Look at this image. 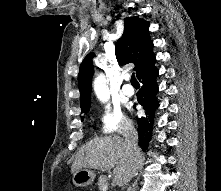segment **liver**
Wrapping results in <instances>:
<instances>
[{
	"label": "liver",
	"mask_w": 221,
	"mask_h": 191,
	"mask_svg": "<svg viewBox=\"0 0 221 191\" xmlns=\"http://www.w3.org/2000/svg\"><path fill=\"white\" fill-rule=\"evenodd\" d=\"M141 160L134 163L126 142L119 137L94 138L78 151L71 172L82 169H113V184L122 186L132 179Z\"/></svg>",
	"instance_id": "liver-1"
}]
</instances>
